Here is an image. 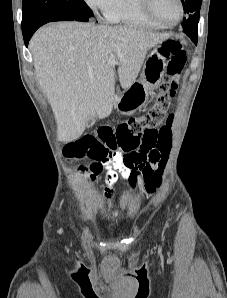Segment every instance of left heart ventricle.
I'll list each match as a JSON object with an SVG mask.
<instances>
[{
    "mask_svg": "<svg viewBox=\"0 0 227 298\" xmlns=\"http://www.w3.org/2000/svg\"><path fill=\"white\" fill-rule=\"evenodd\" d=\"M155 15L165 23H173L179 17L177 0H153Z\"/></svg>",
    "mask_w": 227,
    "mask_h": 298,
    "instance_id": "b2bd125f",
    "label": "left heart ventricle"
}]
</instances>
